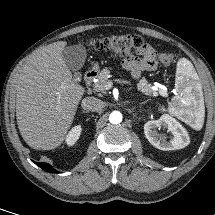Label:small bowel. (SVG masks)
Segmentation results:
<instances>
[{
	"label": "small bowel",
	"mask_w": 215,
	"mask_h": 215,
	"mask_svg": "<svg viewBox=\"0 0 215 215\" xmlns=\"http://www.w3.org/2000/svg\"><path fill=\"white\" fill-rule=\"evenodd\" d=\"M122 64L137 79L142 72L153 71L157 68L156 51L151 45L145 44L136 56L124 59Z\"/></svg>",
	"instance_id": "small-bowel-1"
}]
</instances>
